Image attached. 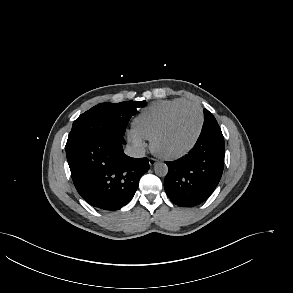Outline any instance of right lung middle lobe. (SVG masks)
Segmentation results:
<instances>
[{
	"instance_id": "obj_1",
	"label": "right lung middle lobe",
	"mask_w": 293,
	"mask_h": 293,
	"mask_svg": "<svg viewBox=\"0 0 293 293\" xmlns=\"http://www.w3.org/2000/svg\"><path fill=\"white\" fill-rule=\"evenodd\" d=\"M145 101L101 103L81 114L73 123L66 143V151L104 133L124 135L131 116Z\"/></svg>"
}]
</instances>
